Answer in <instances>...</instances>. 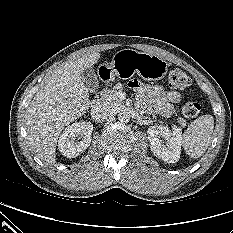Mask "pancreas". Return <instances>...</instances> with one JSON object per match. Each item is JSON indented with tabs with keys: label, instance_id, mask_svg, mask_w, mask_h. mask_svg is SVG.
Returning <instances> with one entry per match:
<instances>
[{
	"label": "pancreas",
	"instance_id": "1",
	"mask_svg": "<svg viewBox=\"0 0 233 233\" xmlns=\"http://www.w3.org/2000/svg\"><path fill=\"white\" fill-rule=\"evenodd\" d=\"M122 92V85L117 84L112 89L107 90L103 93V99L104 101L110 106V107H118L123 104L122 99L119 98V94ZM178 123L184 127L186 126V120L184 118H178Z\"/></svg>",
	"mask_w": 233,
	"mask_h": 233
}]
</instances>
